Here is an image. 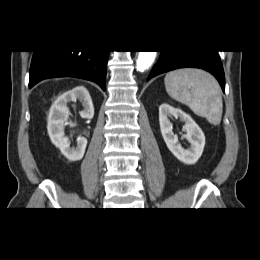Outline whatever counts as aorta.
<instances>
[{"instance_id": "762f6f07", "label": "aorta", "mask_w": 260, "mask_h": 260, "mask_svg": "<svg viewBox=\"0 0 260 260\" xmlns=\"http://www.w3.org/2000/svg\"><path fill=\"white\" fill-rule=\"evenodd\" d=\"M156 53V51H140L136 60L137 70L143 72L149 69L156 58Z\"/></svg>"}]
</instances>
